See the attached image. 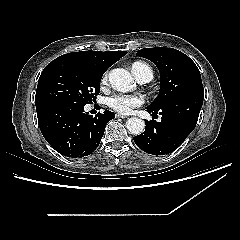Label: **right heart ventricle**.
Returning a JSON list of instances; mask_svg holds the SVG:
<instances>
[{"instance_id": "1", "label": "right heart ventricle", "mask_w": 240, "mask_h": 240, "mask_svg": "<svg viewBox=\"0 0 240 240\" xmlns=\"http://www.w3.org/2000/svg\"><path fill=\"white\" fill-rule=\"evenodd\" d=\"M132 72L138 79L144 75L153 76L150 67L141 61H136L132 64Z\"/></svg>"}]
</instances>
